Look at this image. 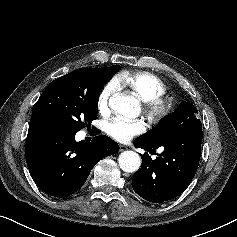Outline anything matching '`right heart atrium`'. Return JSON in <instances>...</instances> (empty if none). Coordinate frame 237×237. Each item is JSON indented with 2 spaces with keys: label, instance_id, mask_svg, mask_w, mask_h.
Here are the masks:
<instances>
[{
  "label": "right heart atrium",
  "instance_id": "d8ad5b80",
  "mask_svg": "<svg viewBox=\"0 0 237 237\" xmlns=\"http://www.w3.org/2000/svg\"><path fill=\"white\" fill-rule=\"evenodd\" d=\"M118 86L114 81L106 83L100 90L97 98L98 110L101 113L107 112L112 96L116 92Z\"/></svg>",
  "mask_w": 237,
  "mask_h": 237
}]
</instances>
